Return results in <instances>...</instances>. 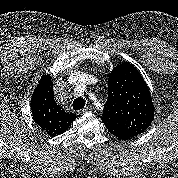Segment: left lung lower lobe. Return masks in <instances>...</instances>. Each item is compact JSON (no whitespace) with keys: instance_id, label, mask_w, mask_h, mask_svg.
<instances>
[{"instance_id":"1","label":"left lung lower lobe","mask_w":178,"mask_h":178,"mask_svg":"<svg viewBox=\"0 0 178 178\" xmlns=\"http://www.w3.org/2000/svg\"><path fill=\"white\" fill-rule=\"evenodd\" d=\"M105 126L111 134H113L114 136H116L118 138L124 139V140L132 138V137L140 134L138 132L127 130V129H124V128H120V127L113 126V125H110V124H105Z\"/></svg>"}]
</instances>
